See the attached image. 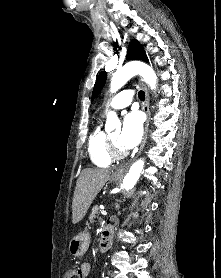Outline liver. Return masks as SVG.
<instances>
[{"label":"liver","instance_id":"6515ba94","mask_svg":"<svg viewBox=\"0 0 221 278\" xmlns=\"http://www.w3.org/2000/svg\"><path fill=\"white\" fill-rule=\"evenodd\" d=\"M111 171L103 169H84L77 182L72 201V223L80 222L86 215L97 194L101 191Z\"/></svg>","mask_w":221,"mask_h":278}]
</instances>
